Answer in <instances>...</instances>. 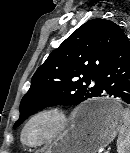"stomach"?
<instances>
[{"mask_svg":"<svg viewBox=\"0 0 130 153\" xmlns=\"http://www.w3.org/2000/svg\"><path fill=\"white\" fill-rule=\"evenodd\" d=\"M92 109L87 119L79 114ZM123 108L113 98L97 99L80 107L71 127L43 153H96L116 137L123 122Z\"/></svg>","mask_w":130,"mask_h":153,"instance_id":"stomach-1","label":"stomach"}]
</instances>
